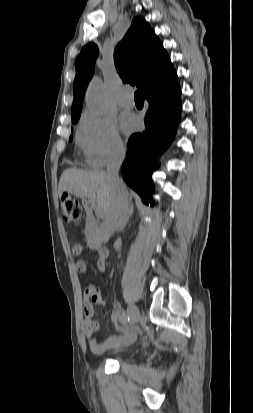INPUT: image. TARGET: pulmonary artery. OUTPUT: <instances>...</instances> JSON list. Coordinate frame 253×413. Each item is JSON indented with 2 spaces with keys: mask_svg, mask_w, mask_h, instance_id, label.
<instances>
[{
  "mask_svg": "<svg viewBox=\"0 0 253 413\" xmlns=\"http://www.w3.org/2000/svg\"><path fill=\"white\" fill-rule=\"evenodd\" d=\"M118 103L120 106L125 108H131L135 105V101L131 91L128 89H123L118 97Z\"/></svg>",
  "mask_w": 253,
  "mask_h": 413,
  "instance_id": "1",
  "label": "pulmonary artery"
}]
</instances>
